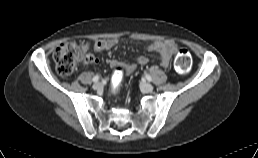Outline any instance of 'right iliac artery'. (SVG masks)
Masks as SVG:
<instances>
[{
	"label": "right iliac artery",
	"mask_w": 258,
	"mask_h": 158,
	"mask_svg": "<svg viewBox=\"0 0 258 158\" xmlns=\"http://www.w3.org/2000/svg\"><path fill=\"white\" fill-rule=\"evenodd\" d=\"M99 78H100L99 75H96L93 77L92 80H93V82H98Z\"/></svg>",
	"instance_id": "82829eb1"
}]
</instances>
